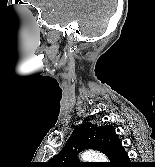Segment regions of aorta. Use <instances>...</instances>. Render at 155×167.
I'll use <instances>...</instances> for the list:
<instances>
[{
    "instance_id": "aorta-1",
    "label": "aorta",
    "mask_w": 155,
    "mask_h": 167,
    "mask_svg": "<svg viewBox=\"0 0 155 167\" xmlns=\"http://www.w3.org/2000/svg\"><path fill=\"white\" fill-rule=\"evenodd\" d=\"M81 160L86 162H105L107 159L97 151L88 150L81 154Z\"/></svg>"
}]
</instances>
